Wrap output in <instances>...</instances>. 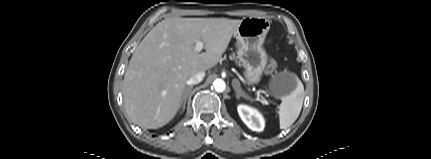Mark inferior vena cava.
Here are the masks:
<instances>
[{
  "label": "inferior vena cava",
  "mask_w": 431,
  "mask_h": 159,
  "mask_svg": "<svg viewBox=\"0 0 431 159\" xmlns=\"http://www.w3.org/2000/svg\"><path fill=\"white\" fill-rule=\"evenodd\" d=\"M205 76L204 71H197L191 74L189 79L186 81L187 85H195L200 83Z\"/></svg>",
  "instance_id": "inferior-vena-cava-1"
}]
</instances>
